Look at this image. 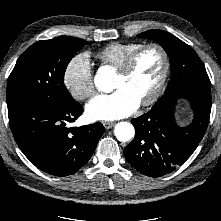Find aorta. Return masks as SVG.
I'll list each match as a JSON object with an SVG mask.
<instances>
[{
    "label": "aorta",
    "instance_id": "obj_1",
    "mask_svg": "<svg viewBox=\"0 0 221 221\" xmlns=\"http://www.w3.org/2000/svg\"><path fill=\"white\" fill-rule=\"evenodd\" d=\"M95 86L102 92H110L113 89L112 74L104 69H100L95 78ZM114 135L119 141L127 142L135 135L134 127L129 122H119L115 125Z\"/></svg>",
    "mask_w": 221,
    "mask_h": 221
}]
</instances>
